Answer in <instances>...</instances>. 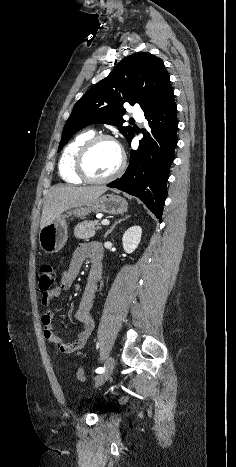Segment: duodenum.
Returning a JSON list of instances; mask_svg holds the SVG:
<instances>
[{
  "label": "duodenum",
  "instance_id": "duodenum-1",
  "mask_svg": "<svg viewBox=\"0 0 236 467\" xmlns=\"http://www.w3.org/2000/svg\"><path fill=\"white\" fill-rule=\"evenodd\" d=\"M96 278H97V272L93 269V270H91V272H90V279H91L92 281H95Z\"/></svg>",
  "mask_w": 236,
  "mask_h": 467
}]
</instances>
